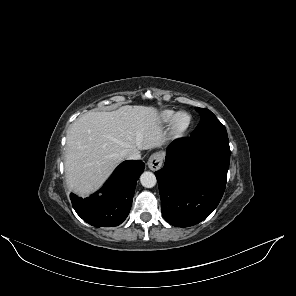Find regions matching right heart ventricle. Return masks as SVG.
Wrapping results in <instances>:
<instances>
[{"mask_svg": "<svg viewBox=\"0 0 296 296\" xmlns=\"http://www.w3.org/2000/svg\"><path fill=\"white\" fill-rule=\"evenodd\" d=\"M174 115H175V112L173 110H170V109L163 110L158 115V121L163 125L169 124L171 123Z\"/></svg>", "mask_w": 296, "mask_h": 296, "instance_id": "obj_1", "label": "right heart ventricle"}]
</instances>
